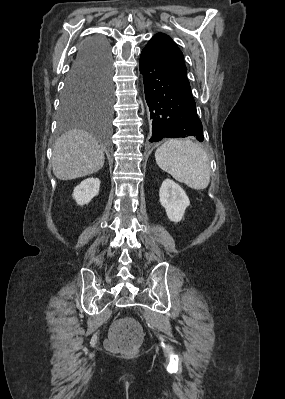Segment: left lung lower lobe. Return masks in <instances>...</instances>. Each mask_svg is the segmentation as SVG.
Returning <instances> with one entry per match:
<instances>
[{
  "label": "left lung lower lobe",
  "instance_id": "0a47b994",
  "mask_svg": "<svg viewBox=\"0 0 285 399\" xmlns=\"http://www.w3.org/2000/svg\"><path fill=\"white\" fill-rule=\"evenodd\" d=\"M146 102L152 119L150 142L195 136L203 141L202 123L190 84L172 73L155 55L143 49L139 61Z\"/></svg>",
  "mask_w": 285,
  "mask_h": 399
}]
</instances>
